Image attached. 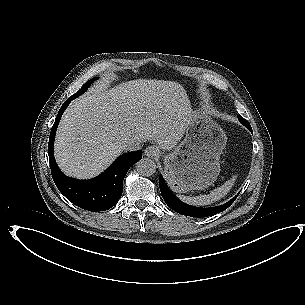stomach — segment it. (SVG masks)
<instances>
[{
  "mask_svg": "<svg viewBox=\"0 0 305 305\" xmlns=\"http://www.w3.org/2000/svg\"><path fill=\"white\" fill-rule=\"evenodd\" d=\"M184 134L183 141L164 157V176L176 193L203 190L216 181L227 141L220 125L196 110Z\"/></svg>",
  "mask_w": 305,
  "mask_h": 305,
  "instance_id": "0dacf381",
  "label": "stomach"
}]
</instances>
